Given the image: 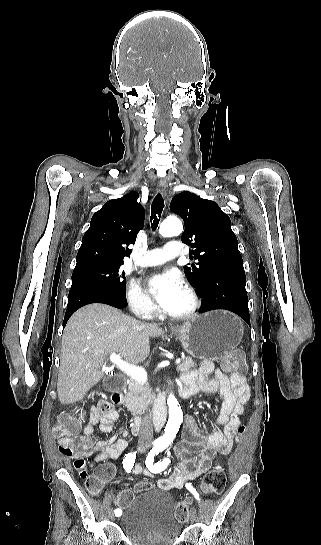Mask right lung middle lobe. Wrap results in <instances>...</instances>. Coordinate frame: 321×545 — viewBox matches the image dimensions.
<instances>
[{"instance_id": "1", "label": "right lung middle lobe", "mask_w": 321, "mask_h": 545, "mask_svg": "<svg viewBox=\"0 0 321 545\" xmlns=\"http://www.w3.org/2000/svg\"><path fill=\"white\" fill-rule=\"evenodd\" d=\"M122 264H96L76 268L72 274V285L92 284L125 293V272L120 270Z\"/></svg>"}]
</instances>
